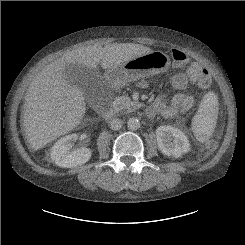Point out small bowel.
I'll use <instances>...</instances> for the list:
<instances>
[{
  "label": "small bowel",
  "instance_id": "obj_1",
  "mask_svg": "<svg viewBox=\"0 0 245 245\" xmlns=\"http://www.w3.org/2000/svg\"><path fill=\"white\" fill-rule=\"evenodd\" d=\"M207 72L199 64L194 63L185 73H177L171 77V85L177 90L176 94L169 101L168 98L161 94L158 95L146 113L149 117L161 115L164 118L172 119L180 113L189 110L195 104V96L184 92L188 83L194 84V75L198 72Z\"/></svg>",
  "mask_w": 245,
  "mask_h": 245
}]
</instances>
